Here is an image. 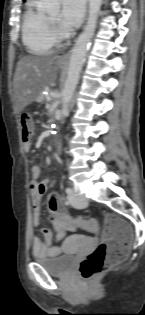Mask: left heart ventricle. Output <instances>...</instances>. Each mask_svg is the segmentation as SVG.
Segmentation results:
<instances>
[{"label":"left heart ventricle","instance_id":"1","mask_svg":"<svg viewBox=\"0 0 145 315\" xmlns=\"http://www.w3.org/2000/svg\"><path fill=\"white\" fill-rule=\"evenodd\" d=\"M48 16H49V17L51 18V20H53L54 22L60 24V13H59V11H56V12H54V13H51V14H49Z\"/></svg>","mask_w":145,"mask_h":315}]
</instances>
